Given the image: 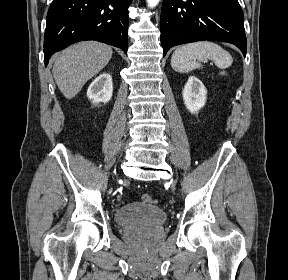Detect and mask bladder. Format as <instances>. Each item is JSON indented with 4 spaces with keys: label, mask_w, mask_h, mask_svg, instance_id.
Returning <instances> with one entry per match:
<instances>
[{
    "label": "bladder",
    "mask_w": 288,
    "mask_h": 280,
    "mask_svg": "<svg viewBox=\"0 0 288 280\" xmlns=\"http://www.w3.org/2000/svg\"><path fill=\"white\" fill-rule=\"evenodd\" d=\"M114 219L122 227L156 230L164 225L167 215L156 205L133 202L118 208L114 213Z\"/></svg>",
    "instance_id": "bladder-1"
}]
</instances>
